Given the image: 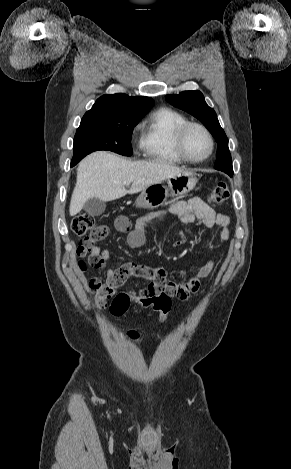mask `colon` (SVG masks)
<instances>
[{"label": "colon", "instance_id": "5ec220e1", "mask_svg": "<svg viewBox=\"0 0 291 469\" xmlns=\"http://www.w3.org/2000/svg\"><path fill=\"white\" fill-rule=\"evenodd\" d=\"M229 196V189L225 182H219L214 187L211 195V199L215 203L224 202ZM72 232L82 237V240L78 247V254L84 255L90 253L91 248L94 244L105 238L107 235V229L105 226H95V218L89 213H82L77 215L71 223ZM89 264L94 268H101L103 266L102 261L90 255ZM81 269H85V263L79 262ZM92 292H96L102 288L101 283L93 282L89 285ZM151 288L148 296H137L135 299L127 296L125 290H120L118 293H114L111 311L115 318L119 317L118 313H127L129 308H143L145 311H157L161 321H165L171 309V299L168 293H155L153 294ZM131 339H138V333L131 331L128 333Z\"/></svg>", "mask_w": 291, "mask_h": 469}]
</instances>
